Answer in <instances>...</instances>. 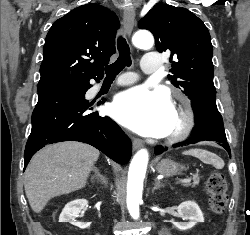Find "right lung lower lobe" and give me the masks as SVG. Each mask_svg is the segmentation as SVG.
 I'll list each match as a JSON object with an SVG mask.
<instances>
[{
	"mask_svg": "<svg viewBox=\"0 0 250 235\" xmlns=\"http://www.w3.org/2000/svg\"><path fill=\"white\" fill-rule=\"evenodd\" d=\"M91 86L88 80L38 91V103L32 113V130L24 153V168L39 149L62 141L88 143L117 163L129 161V138L109 117H101L97 111L91 112L93 103L85 99ZM104 101H99L98 105Z\"/></svg>",
	"mask_w": 250,
	"mask_h": 235,
	"instance_id": "obj_1",
	"label": "right lung lower lobe"
}]
</instances>
